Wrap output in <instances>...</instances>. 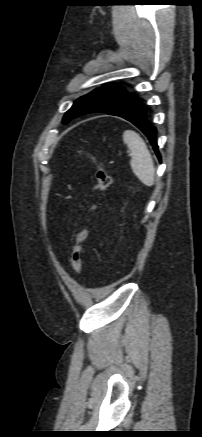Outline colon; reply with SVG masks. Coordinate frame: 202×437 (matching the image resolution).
Returning a JSON list of instances; mask_svg holds the SVG:
<instances>
[{"label":"colon","instance_id":"colon-1","mask_svg":"<svg viewBox=\"0 0 202 437\" xmlns=\"http://www.w3.org/2000/svg\"><path fill=\"white\" fill-rule=\"evenodd\" d=\"M81 154L85 155L89 160H91L96 166V177L97 185L96 192L98 195L105 193L112 184V177L107 171L104 164L99 161L94 155L80 151ZM97 204L92 202L89 205V211L92 212L96 209ZM88 236V229L86 226H82L75 234V244L73 246L72 256H71V266L75 273L79 274L82 269V253L83 244Z\"/></svg>","mask_w":202,"mask_h":437}]
</instances>
